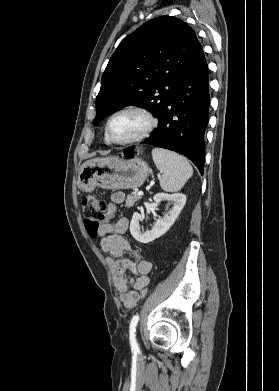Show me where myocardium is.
Masks as SVG:
<instances>
[{
    "label": "myocardium",
    "mask_w": 279,
    "mask_h": 391,
    "mask_svg": "<svg viewBox=\"0 0 279 391\" xmlns=\"http://www.w3.org/2000/svg\"><path fill=\"white\" fill-rule=\"evenodd\" d=\"M124 112H135V113L142 115L146 121V124H145V127L139 133L132 136L131 138L123 140V141H117V140H114L110 136V124H111V121L113 120L114 117H116L117 115L124 113ZM156 126H157V120L150 110H148L147 108L140 106V105H135V104L125 105V106L120 107L117 110H115L108 117L106 125H105V138L110 144L128 145V144L140 142V141L146 139L154 131Z\"/></svg>",
    "instance_id": "obj_1"
}]
</instances>
